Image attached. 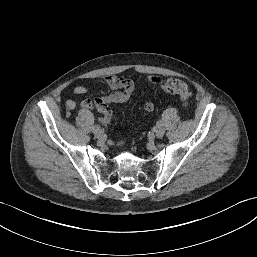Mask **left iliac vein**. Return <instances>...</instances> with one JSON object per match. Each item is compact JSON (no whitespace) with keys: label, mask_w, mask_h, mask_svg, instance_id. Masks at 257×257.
Instances as JSON below:
<instances>
[{"label":"left iliac vein","mask_w":257,"mask_h":257,"mask_svg":"<svg viewBox=\"0 0 257 257\" xmlns=\"http://www.w3.org/2000/svg\"><path fill=\"white\" fill-rule=\"evenodd\" d=\"M164 133H165V129L162 126L157 127L155 130V136L157 138H162L164 136Z\"/></svg>","instance_id":"left-iliac-vein-1"}]
</instances>
